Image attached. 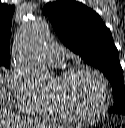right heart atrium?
Instances as JSON below:
<instances>
[{
    "mask_svg": "<svg viewBox=\"0 0 125 128\" xmlns=\"http://www.w3.org/2000/svg\"><path fill=\"white\" fill-rule=\"evenodd\" d=\"M10 93L14 106L26 114H36L47 101L22 73L11 70L9 73Z\"/></svg>",
    "mask_w": 125,
    "mask_h": 128,
    "instance_id": "1",
    "label": "right heart atrium"
}]
</instances>
